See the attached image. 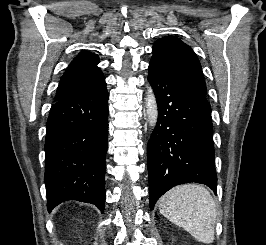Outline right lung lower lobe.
Wrapping results in <instances>:
<instances>
[{
    "mask_svg": "<svg viewBox=\"0 0 266 245\" xmlns=\"http://www.w3.org/2000/svg\"><path fill=\"white\" fill-rule=\"evenodd\" d=\"M108 92L104 80L77 88L51 107L45 141V185L50 212L77 200L104 212Z\"/></svg>",
    "mask_w": 266,
    "mask_h": 245,
    "instance_id": "98d812e1",
    "label": "right lung lower lobe"
}]
</instances>
